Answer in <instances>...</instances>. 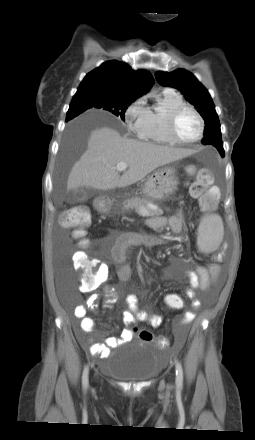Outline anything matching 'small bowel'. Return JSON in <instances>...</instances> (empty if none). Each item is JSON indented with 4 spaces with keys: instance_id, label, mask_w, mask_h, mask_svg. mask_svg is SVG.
Masks as SVG:
<instances>
[{
    "instance_id": "obj_1",
    "label": "small bowel",
    "mask_w": 255,
    "mask_h": 440,
    "mask_svg": "<svg viewBox=\"0 0 255 440\" xmlns=\"http://www.w3.org/2000/svg\"><path fill=\"white\" fill-rule=\"evenodd\" d=\"M147 226L153 230L162 229L169 226L173 233L179 234L182 231L184 218L181 212H176L170 218L153 217L147 220ZM165 238L154 234H140L135 232H126L116 237L115 243L111 251V259L116 266L117 276L122 282H126L131 277V267L127 262V251L134 245L155 246L163 243ZM98 274L96 277V285L105 282L109 278V267L107 263L95 262ZM220 272L219 264L214 262L208 267L198 265L195 270H188L185 276L188 279L189 286L185 290V295L191 300L194 307L199 306V301L195 297L196 290H207L211 284L218 278ZM88 292L86 290H82ZM90 291V290H89ZM105 296L107 298V306L115 302L120 293L114 287L106 286L104 288ZM163 298H182L177 293H168ZM128 310L124 312V322L129 326L122 331L119 337H107L104 343H92L91 340H86L80 337L81 343L87 347L90 354L101 359L108 358L111 355V349L130 341L133 338V332L130 327L136 322H147L153 327H158L162 323V317L156 313H148L139 308V301L134 293H128L125 296ZM97 295H92L87 302V306L78 305L74 308L73 314L75 318L80 321V328L83 332L88 333L94 330L95 321L93 318L87 316V309H95ZM195 318L194 312L186 311L181 317V324L185 325ZM181 339L178 340V343Z\"/></svg>"
}]
</instances>
